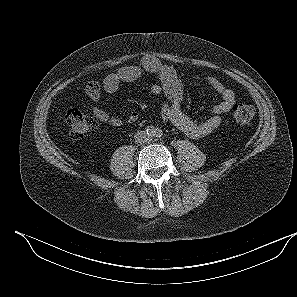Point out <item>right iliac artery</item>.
Here are the masks:
<instances>
[{"instance_id": "right-iliac-artery-1", "label": "right iliac artery", "mask_w": 297, "mask_h": 297, "mask_svg": "<svg viewBox=\"0 0 297 297\" xmlns=\"http://www.w3.org/2000/svg\"><path fill=\"white\" fill-rule=\"evenodd\" d=\"M147 134L152 135L153 133H155V129L152 126H148L146 129Z\"/></svg>"}]
</instances>
